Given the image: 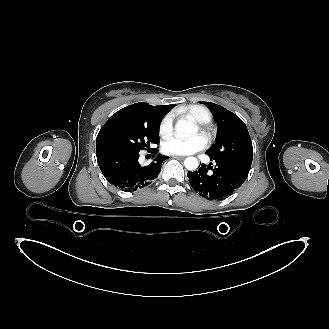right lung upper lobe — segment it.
Returning a JSON list of instances; mask_svg holds the SVG:
<instances>
[{
  "label": "right lung upper lobe",
  "mask_w": 329,
  "mask_h": 329,
  "mask_svg": "<svg viewBox=\"0 0 329 329\" xmlns=\"http://www.w3.org/2000/svg\"><path fill=\"white\" fill-rule=\"evenodd\" d=\"M174 106H175L174 104L152 106L145 102H139L129 105L117 111L115 114H113L104 124V126L100 129L99 133H101L104 129L114 124L124 123V122L146 121L153 113L157 111L167 113ZM96 148L97 150L102 148L99 144L98 136L96 140Z\"/></svg>",
  "instance_id": "obj_1"
}]
</instances>
